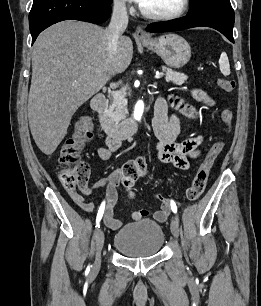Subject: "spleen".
<instances>
[{
	"mask_svg": "<svg viewBox=\"0 0 261 306\" xmlns=\"http://www.w3.org/2000/svg\"><path fill=\"white\" fill-rule=\"evenodd\" d=\"M219 66H220V70H221V72L224 76L230 75L229 60H228L227 54L225 52H223L220 56Z\"/></svg>",
	"mask_w": 261,
	"mask_h": 306,
	"instance_id": "3e777b00",
	"label": "spleen"
}]
</instances>
